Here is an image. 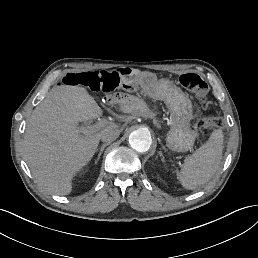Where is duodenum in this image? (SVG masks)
<instances>
[{"label":"duodenum","mask_w":258,"mask_h":258,"mask_svg":"<svg viewBox=\"0 0 258 258\" xmlns=\"http://www.w3.org/2000/svg\"><path fill=\"white\" fill-rule=\"evenodd\" d=\"M116 73L120 80L125 82L132 81L137 76L136 70L131 67H119Z\"/></svg>","instance_id":"1"}]
</instances>
